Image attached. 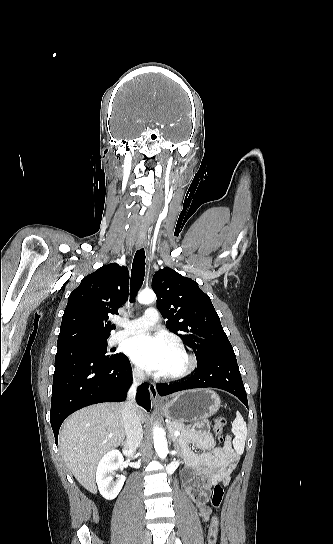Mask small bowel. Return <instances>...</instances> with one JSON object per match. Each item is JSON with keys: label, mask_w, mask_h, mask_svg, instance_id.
I'll list each match as a JSON object with an SVG mask.
<instances>
[{"label": "small bowel", "mask_w": 333, "mask_h": 544, "mask_svg": "<svg viewBox=\"0 0 333 544\" xmlns=\"http://www.w3.org/2000/svg\"><path fill=\"white\" fill-rule=\"evenodd\" d=\"M194 427L180 441L186 463L182 477L187 494L196 502L201 520L207 523L211 514L207 505L211 489L217 484L228 482L239 455L234 450L230 437L223 447L216 446L206 421L198 422ZM190 445L199 452L193 451Z\"/></svg>", "instance_id": "1"}]
</instances>
